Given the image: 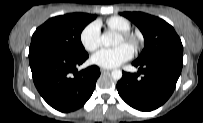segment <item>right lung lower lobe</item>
<instances>
[{
    "label": "right lung lower lobe",
    "mask_w": 203,
    "mask_h": 123,
    "mask_svg": "<svg viewBox=\"0 0 203 123\" xmlns=\"http://www.w3.org/2000/svg\"><path fill=\"white\" fill-rule=\"evenodd\" d=\"M88 54L69 55L42 48L29 49L34 84L42 98L54 109L70 112L91 97L100 75L97 66L78 71Z\"/></svg>",
    "instance_id": "1"
}]
</instances>
